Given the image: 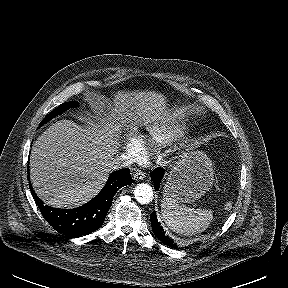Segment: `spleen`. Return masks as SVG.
<instances>
[{
  "instance_id": "spleen-1",
  "label": "spleen",
  "mask_w": 288,
  "mask_h": 288,
  "mask_svg": "<svg viewBox=\"0 0 288 288\" xmlns=\"http://www.w3.org/2000/svg\"><path fill=\"white\" fill-rule=\"evenodd\" d=\"M161 216L172 231L184 236L206 230L213 220L211 210L189 208L169 199L162 200Z\"/></svg>"
}]
</instances>
